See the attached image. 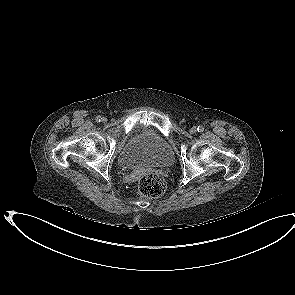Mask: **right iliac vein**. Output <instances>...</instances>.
Segmentation results:
<instances>
[{
    "instance_id": "right-iliac-vein-1",
    "label": "right iliac vein",
    "mask_w": 295,
    "mask_h": 295,
    "mask_svg": "<svg viewBox=\"0 0 295 295\" xmlns=\"http://www.w3.org/2000/svg\"><path fill=\"white\" fill-rule=\"evenodd\" d=\"M107 121V119L106 118H102V122H106Z\"/></svg>"
}]
</instances>
